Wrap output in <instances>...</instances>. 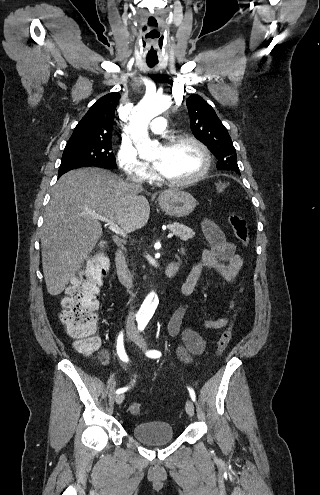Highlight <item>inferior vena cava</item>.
Returning <instances> with one entry per match:
<instances>
[{
	"label": "inferior vena cava",
	"mask_w": 320,
	"mask_h": 495,
	"mask_svg": "<svg viewBox=\"0 0 320 495\" xmlns=\"http://www.w3.org/2000/svg\"><path fill=\"white\" fill-rule=\"evenodd\" d=\"M126 183L130 189V191L137 193L140 190H142V179L137 178V177H128L126 180ZM130 294V299L129 303L133 302V299L135 297L134 293L132 291H129ZM128 329L129 331L135 332L136 331V326L134 324V312L133 310L129 311L128 315Z\"/></svg>",
	"instance_id": "602c4592"
}]
</instances>
